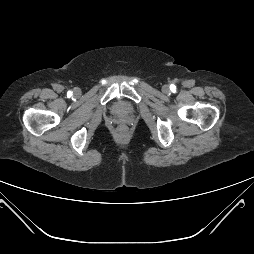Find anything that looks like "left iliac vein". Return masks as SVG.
I'll return each instance as SVG.
<instances>
[{
	"instance_id": "obj_1",
	"label": "left iliac vein",
	"mask_w": 254,
	"mask_h": 254,
	"mask_svg": "<svg viewBox=\"0 0 254 254\" xmlns=\"http://www.w3.org/2000/svg\"><path fill=\"white\" fill-rule=\"evenodd\" d=\"M162 91H163L164 93H168V92H169V86H168V85H164V86L162 87Z\"/></svg>"
}]
</instances>
